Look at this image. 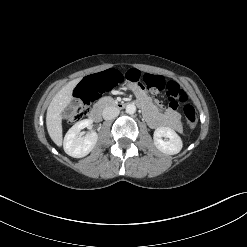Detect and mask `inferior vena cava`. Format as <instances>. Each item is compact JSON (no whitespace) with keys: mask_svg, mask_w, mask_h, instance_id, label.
Masks as SVG:
<instances>
[{"mask_svg":"<svg viewBox=\"0 0 247 247\" xmlns=\"http://www.w3.org/2000/svg\"><path fill=\"white\" fill-rule=\"evenodd\" d=\"M120 111L117 107L108 106L103 110V118L105 120H111L119 115Z\"/></svg>","mask_w":247,"mask_h":247,"instance_id":"602c4592","label":"inferior vena cava"}]
</instances>
